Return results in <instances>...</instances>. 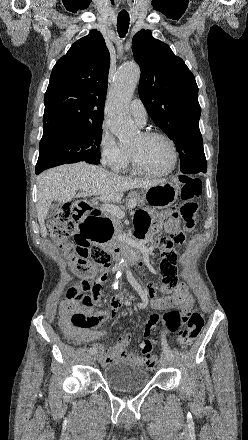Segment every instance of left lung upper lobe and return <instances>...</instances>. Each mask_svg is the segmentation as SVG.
<instances>
[{
	"instance_id": "obj_1",
	"label": "left lung upper lobe",
	"mask_w": 248,
	"mask_h": 440,
	"mask_svg": "<svg viewBox=\"0 0 248 440\" xmlns=\"http://www.w3.org/2000/svg\"><path fill=\"white\" fill-rule=\"evenodd\" d=\"M135 61L141 68L139 97L152 120L174 140L181 172L207 171L199 129L201 108L198 87L184 61L170 47L142 29L132 40Z\"/></svg>"
}]
</instances>
